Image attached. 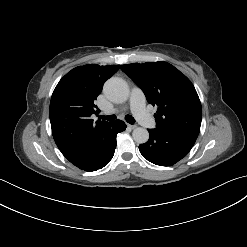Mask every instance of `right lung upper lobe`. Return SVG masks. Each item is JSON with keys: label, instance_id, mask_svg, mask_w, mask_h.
I'll return each mask as SVG.
<instances>
[{"label": "right lung upper lobe", "instance_id": "obj_1", "mask_svg": "<svg viewBox=\"0 0 247 247\" xmlns=\"http://www.w3.org/2000/svg\"><path fill=\"white\" fill-rule=\"evenodd\" d=\"M119 67L96 64L78 66L59 81L51 97L49 116L53 138L65 157L79 150L91 130L107 123L100 120L93 123L91 115L99 111L94 101L104 82Z\"/></svg>", "mask_w": 247, "mask_h": 247}]
</instances>
